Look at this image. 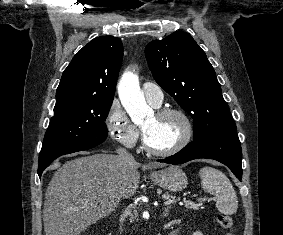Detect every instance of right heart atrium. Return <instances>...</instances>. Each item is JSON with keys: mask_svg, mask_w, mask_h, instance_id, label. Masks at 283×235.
<instances>
[{"mask_svg": "<svg viewBox=\"0 0 283 235\" xmlns=\"http://www.w3.org/2000/svg\"><path fill=\"white\" fill-rule=\"evenodd\" d=\"M106 126L110 136L126 147L136 145L140 131L132 123L119 100L114 99L107 111Z\"/></svg>", "mask_w": 283, "mask_h": 235, "instance_id": "d8ad5b80", "label": "right heart atrium"}]
</instances>
